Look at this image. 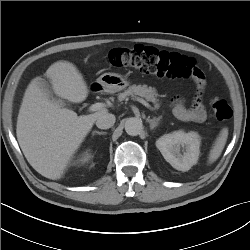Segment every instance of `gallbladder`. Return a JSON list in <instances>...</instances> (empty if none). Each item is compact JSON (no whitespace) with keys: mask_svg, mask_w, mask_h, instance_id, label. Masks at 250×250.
Wrapping results in <instances>:
<instances>
[{"mask_svg":"<svg viewBox=\"0 0 250 250\" xmlns=\"http://www.w3.org/2000/svg\"><path fill=\"white\" fill-rule=\"evenodd\" d=\"M40 83L42 87L47 91L48 96L51 100L59 102L62 106H66V103L54 94L49 84L45 80L40 79Z\"/></svg>","mask_w":250,"mask_h":250,"instance_id":"gallbladder-1","label":"gallbladder"}]
</instances>
